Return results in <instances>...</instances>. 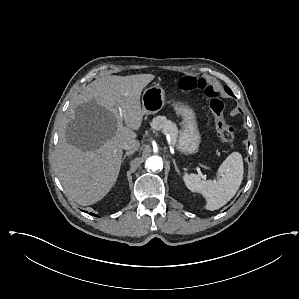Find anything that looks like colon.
<instances>
[{"mask_svg": "<svg viewBox=\"0 0 299 299\" xmlns=\"http://www.w3.org/2000/svg\"><path fill=\"white\" fill-rule=\"evenodd\" d=\"M177 87L184 92L199 89L209 99V107L214 117L215 129L218 139L225 144L234 140V130L227 123L224 116V103L218 97L216 89L204 79L195 77H183L177 82Z\"/></svg>", "mask_w": 299, "mask_h": 299, "instance_id": "1", "label": "colon"}]
</instances>
